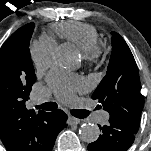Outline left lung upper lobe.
Masks as SVG:
<instances>
[{
	"label": "left lung upper lobe",
	"instance_id": "left-lung-upper-lobe-1",
	"mask_svg": "<svg viewBox=\"0 0 151 151\" xmlns=\"http://www.w3.org/2000/svg\"><path fill=\"white\" fill-rule=\"evenodd\" d=\"M112 54L105 77L92 98L102 103L110 119L136 134L144 106L141 83L135 59L125 40L111 32Z\"/></svg>",
	"mask_w": 151,
	"mask_h": 151
}]
</instances>
